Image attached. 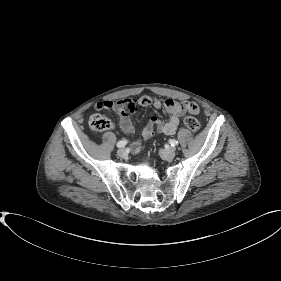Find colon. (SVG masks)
I'll return each mask as SVG.
<instances>
[{"instance_id":"obj_1","label":"colon","mask_w":281,"mask_h":281,"mask_svg":"<svg viewBox=\"0 0 281 281\" xmlns=\"http://www.w3.org/2000/svg\"><path fill=\"white\" fill-rule=\"evenodd\" d=\"M187 105L191 112L197 113L199 111V108L195 103L192 102L188 103ZM183 123L186 128L193 133L198 132L200 129L199 121L193 116H185L183 119ZM89 125L95 131H105L111 128L112 123L108 117L98 112L90 117Z\"/></svg>"}]
</instances>
